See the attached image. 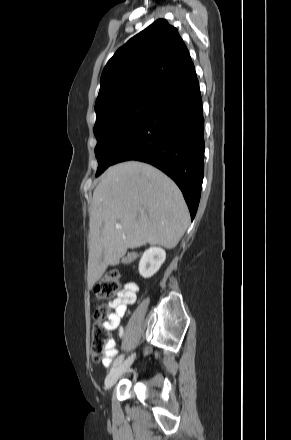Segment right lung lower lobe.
<instances>
[{
    "instance_id": "obj_1",
    "label": "right lung lower lobe",
    "mask_w": 291,
    "mask_h": 440,
    "mask_svg": "<svg viewBox=\"0 0 291 440\" xmlns=\"http://www.w3.org/2000/svg\"><path fill=\"white\" fill-rule=\"evenodd\" d=\"M204 150L202 99L194 70L154 98L111 165L138 160L162 170L181 189L193 220L202 189Z\"/></svg>"
}]
</instances>
